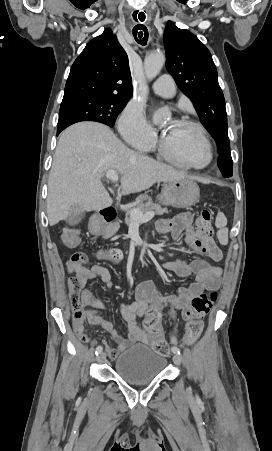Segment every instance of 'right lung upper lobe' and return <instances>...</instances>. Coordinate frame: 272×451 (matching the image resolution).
Wrapping results in <instances>:
<instances>
[{"label":"right lung upper lobe","mask_w":272,"mask_h":451,"mask_svg":"<svg viewBox=\"0 0 272 451\" xmlns=\"http://www.w3.org/2000/svg\"><path fill=\"white\" fill-rule=\"evenodd\" d=\"M128 56L110 29L91 40L73 63L63 101L80 97L130 99Z\"/></svg>","instance_id":"right-lung-upper-lobe-1"}]
</instances>
